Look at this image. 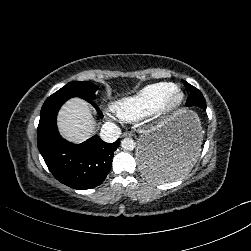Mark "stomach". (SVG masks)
<instances>
[{
  "label": "stomach",
  "mask_w": 251,
  "mask_h": 251,
  "mask_svg": "<svg viewBox=\"0 0 251 251\" xmlns=\"http://www.w3.org/2000/svg\"><path fill=\"white\" fill-rule=\"evenodd\" d=\"M202 140L197 113L182 108L161 127L143 132L136 151L139 169L151 182L176 179L198 164Z\"/></svg>",
  "instance_id": "1"
}]
</instances>
